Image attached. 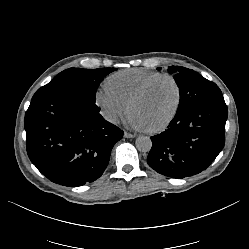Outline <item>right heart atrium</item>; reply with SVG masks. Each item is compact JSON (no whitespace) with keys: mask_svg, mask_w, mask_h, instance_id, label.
Returning <instances> with one entry per match:
<instances>
[{"mask_svg":"<svg viewBox=\"0 0 249 249\" xmlns=\"http://www.w3.org/2000/svg\"><path fill=\"white\" fill-rule=\"evenodd\" d=\"M95 104L103 118L110 123H116L128 107L127 102L114 95L106 87L96 92Z\"/></svg>","mask_w":249,"mask_h":249,"instance_id":"right-heart-atrium-1","label":"right heart atrium"}]
</instances>
